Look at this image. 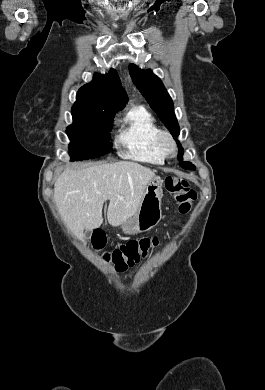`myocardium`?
<instances>
[{
    "instance_id": "f54148a6",
    "label": "myocardium",
    "mask_w": 265,
    "mask_h": 390,
    "mask_svg": "<svg viewBox=\"0 0 265 390\" xmlns=\"http://www.w3.org/2000/svg\"><path fill=\"white\" fill-rule=\"evenodd\" d=\"M156 143L163 157L172 158L176 155V142L168 132L160 131L156 137Z\"/></svg>"
}]
</instances>
